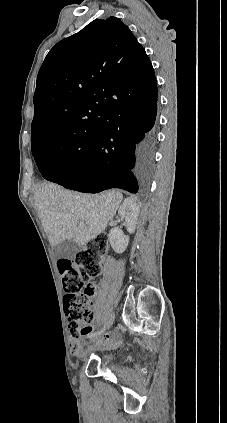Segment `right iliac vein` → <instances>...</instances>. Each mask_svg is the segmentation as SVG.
<instances>
[{
  "instance_id": "1",
  "label": "right iliac vein",
  "mask_w": 227,
  "mask_h": 423,
  "mask_svg": "<svg viewBox=\"0 0 227 423\" xmlns=\"http://www.w3.org/2000/svg\"><path fill=\"white\" fill-rule=\"evenodd\" d=\"M113 320H114V315H113V314H111V315L108 317L107 321L105 322V323H106V324H105V327H104V329H102V330H101V333L99 334L98 338L103 337V336L106 334V330L110 328V326H111V325H112V323H113ZM96 339H97V338H96Z\"/></svg>"
}]
</instances>
